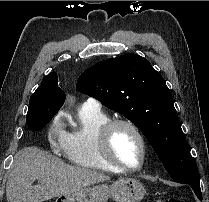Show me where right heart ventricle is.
I'll use <instances>...</instances> for the list:
<instances>
[{
  "label": "right heart ventricle",
  "mask_w": 209,
  "mask_h": 202,
  "mask_svg": "<svg viewBox=\"0 0 209 202\" xmlns=\"http://www.w3.org/2000/svg\"><path fill=\"white\" fill-rule=\"evenodd\" d=\"M78 119L79 126L67 133L64 158L82 168L118 172L103 159L97 145L98 134L109 116L98 108L82 107Z\"/></svg>",
  "instance_id": "1"
}]
</instances>
